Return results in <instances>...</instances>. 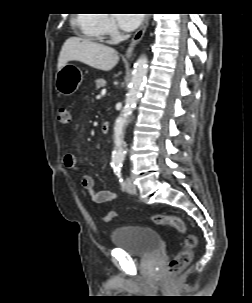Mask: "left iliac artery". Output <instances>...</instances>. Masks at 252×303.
Returning <instances> with one entry per match:
<instances>
[{"mask_svg": "<svg viewBox=\"0 0 252 303\" xmlns=\"http://www.w3.org/2000/svg\"><path fill=\"white\" fill-rule=\"evenodd\" d=\"M114 171L116 172V175L119 177V182H120L121 186L124 187V181L121 177L120 167L115 168Z\"/></svg>", "mask_w": 252, "mask_h": 303, "instance_id": "1", "label": "left iliac artery"}]
</instances>
